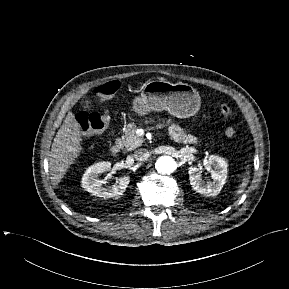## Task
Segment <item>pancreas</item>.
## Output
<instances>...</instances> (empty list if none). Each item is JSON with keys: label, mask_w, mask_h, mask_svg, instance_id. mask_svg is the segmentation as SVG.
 <instances>
[{"label": "pancreas", "mask_w": 289, "mask_h": 289, "mask_svg": "<svg viewBox=\"0 0 289 289\" xmlns=\"http://www.w3.org/2000/svg\"><path fill=\"white\" fill-rule=\"evenodd\" d=\"M167 124L171 123V120H167ZM137 126L134 123H129L124 128V134L121 139L122 145L128 150H134L141 146L143 143V138L136 135ZM168 134L172 140L177 143L183 144H195L197 143V138L191 134H186L185 131L176 124H170L168 128Z\"/></svg>", "instance_id": "1"}]
</instances>
